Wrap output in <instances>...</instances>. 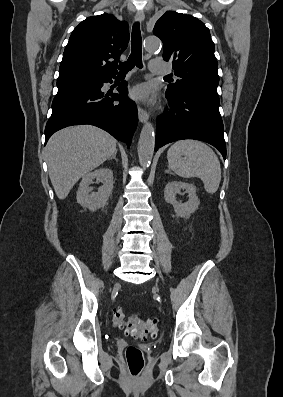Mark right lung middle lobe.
<instances>
[{"mask_svg":"<svg viewBox=\"0 0 283 397\" xmlns=\"http://www.w3.org/2000/svg\"><path fill=\"white\" fill-rule=\"evenodd\" d=\"M94 80H75V81H62L57 82L58 89L65 88L74 84H85V83H92Z\"/></svg>","mask_w":283,"mask_h":397,"instance_id":"dd1d6c3e","label":"right lung middle lobe"}]
</instances>
